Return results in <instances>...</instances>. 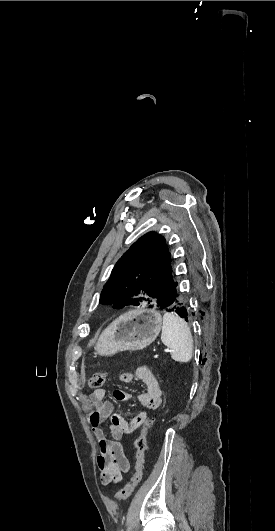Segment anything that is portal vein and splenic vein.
Segmentation results:
<instances>
[{
    "label": "portal vein and splenic vein",
    "instance_id": "18ae733b",
    "mask_svg": "<svg viewBox=\"0 0 275 531\" xmlns=\"http://www.w3.org/2000/svg\"><path fill=\"white\" fill-rule=\"evenodd\" d=\"M164 353H171V350H169V348H164Z\"/></svg>",
    "mask_w": 275,
    "mask_h": 531
}]
</instances>
